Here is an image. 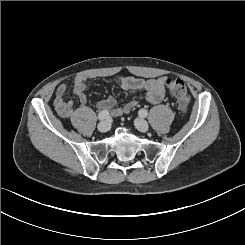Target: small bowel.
Returning a JSON list of instances; mask_svg holds the SVG:
<instances>
[{
    "instance_id": "small-bowel-1",
    "label": "small bowel",
    "mask_w": 245,
    "mask_h": 245,
    "mask_svg": "<svg viewBox=\"0 0 245 245\" xmlns=\"http://www.w3.org/2000/svg\"><path fill=\"white\" fill-rule=\"evenodd\" d=\"M88 80L85 76H78L74 80L73 92L83 105L87 102L86 88ZM166 80V76L152 79L119 76L114 79V82L117 87L125 91L133 93L144 92L145 100L148 103L158 104L165 97ZM67 91L66 84L61 83L57 86L54 101L55 109L61 117L70 119L78 125L81 115L86 109L84 107L75 109L72 100L66 98ZM137 103V100H132L123 107H116L115 98L109 96L107 99L99 102L98 108L110 111L113 116H119L123 113H128Z\"/></svg>"
}]
</instances>
